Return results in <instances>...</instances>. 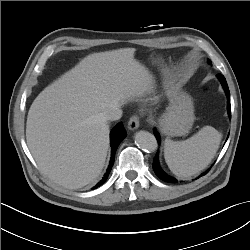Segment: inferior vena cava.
I'll return each instance as SVG.
<instances>
[{
    "instance_id": "obj_1",
    "label": "inferior vena cava",
    "mask_w": 250,
    "mask_h": 250,
    "mask_svg": "<svg viewBox=\"0 0 250 250\" xmlns=\"http://www.w3.org/2000/svg\"><path fill=\"white\" fill-rule=\"evenodd\" d=\"M122 117V110L120 106L114 105L104 112V118L110 121L119 120Z\"/></svg>"
}]
</instances>
